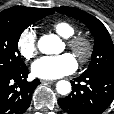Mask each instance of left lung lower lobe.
<instances>
[{"instance_id":"obj_1","label":"left lung lower lobe","mask_w":114,"mask_h":114,"mask_svg":"<svg viewBox=\"0 0 114 114\" xmlns=\"http://www.w3.org/2000/svg\"><path fill=\"white\" fill-rule=\"evenodd\" d=\"M72 86L71 94L58 100L65 112L101 114L114 98V71L83 73Z\"/></svg>"}]
</instances>
